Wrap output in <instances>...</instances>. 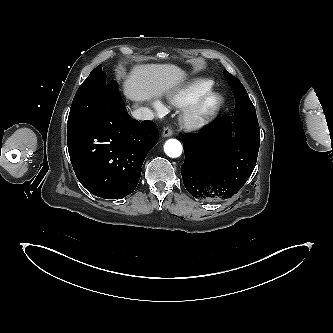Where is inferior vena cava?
Listing matches in <instances>:
<instances>
[{
	"label": "inferior vena cava",
	"mask_w": 333,
	"mask_h": 333,
	"mask_svg": "<svg viewBox=\"0 0 333 333\" xmlns=\"http://www.w3.org/2000/svg\"><path fill=\"white\" fill-rule=\"evenodd\" d=\"M132 116L137 120H152L154 112L146 107H139L132 112Z\"/></svg>",
	"instance_id": "602c4592"
}]
</instances>
